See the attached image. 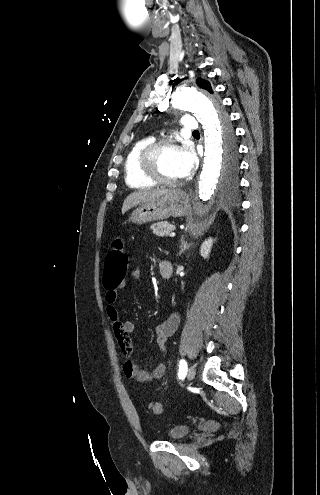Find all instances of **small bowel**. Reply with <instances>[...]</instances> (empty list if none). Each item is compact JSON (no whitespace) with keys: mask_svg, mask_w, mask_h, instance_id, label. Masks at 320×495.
<instances>
[{"mask_svg":"<svg viewBox=\"0 0 320 495\" xmlns=\"http://www.w3.org/2000/svg\"><path fill=\"white\" fill-rule=\"evenodd\" d=\"M132 275L134 278H138L140 275L139 270L135 269L132 272ZM124 286L125 282L122 281L113 288L106 287V314L113 328L121 352L124 355L123 370L125 375L140 383H149L153 380L160 379L164 375L165 365L158 364L151 370H143L134 363L132 359L133 343L131 335L135 332V325L131 321H122L118 309L115 306L117 294ZM179 322L180 316L178 313L174 312L165 321L155 327L156 343L162 352H167V339L175 333Z\"/></svg>","mask_w":320,"mask_h":495,"instance_id":"obj_1","label":"small bowel"}]
</instances>
